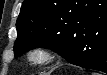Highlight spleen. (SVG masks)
I'll list each match as a JSON object with an SVG mask.
<instances>
[{
  "label": "spleen",
  "instance_id": "spleen-1",
  "mask_svg": "<svg viewBox=\"0 0 107 75\" xmlns=\"http://www.w3.org/2000/svg\"><path fill=\"white\" fill-rule=\"evenodd\" d=\"M92 75H99L98 73H92Z\"/></svg>",
  "mask_w": 107,
  "mask_h": 75
}]
</instances>
